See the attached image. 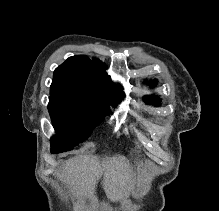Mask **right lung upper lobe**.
<instances>
[{
  "mask_svg": "<svg viewBox=\"0 0 219 211\" xmlns=\"http://www.w3.org/2000/svg\"><path fill=\"white\" fill-rule=\"evenodd\" d=\"M50 99L115 106L123 99V91L111 83L106 66L100 60L77 55L54 71Z\"/></svg>",
  "mask_w": 219,
  "mask_h": 211,
  "instance_id": "cb5924a9",
  "label": "right lung upper lobe"
}]
</instances>
